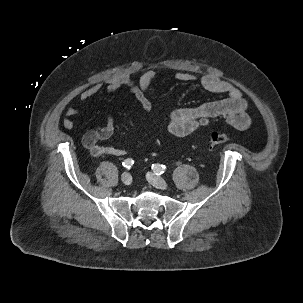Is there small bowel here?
I'll return each mask as SVG.
<instances>
[{
  "mask_svg": "<svg viewBox=\"0 0 303 303\" xmlns=\"http://www.w3.org/2000/svg\"><path fill=\"white\" fill-rule=\"evenodd\" d=\"M158 78L153 71L141 73L138 77L134 74L116 73L106 80L109 93H115L121 86H127L139 102L145 113L150 112L152 104L148 98L151 84ZM175 79L180 82H199L208 92L226 95L223 99L205 102L192 107H183L174 110L169 119L168 130L177 137H185L195 132L201 126L206 125L211 119L222 117L229 125L237 130H246L251 124L247 114V101L241 91L229 82L221 80L213 75H205L197 78L195 75L178 72ZM97 85L85 89L79 97L84 103L99 92ZM78 114L74 107L66 109L62 125L66 129L74 128L72 118ZM115 129L114 119L109 115L102 127L87 131L82 137V145L93 156L103 155L122 156L127 153L125 149L102 146L101 141L109 139Z\"/></svg>",
  "mask_w": 303,
  "mask_h": 303,
  "instance_id": "small-bowel-1",
  "label": "small bowel"
}]
</instances>
